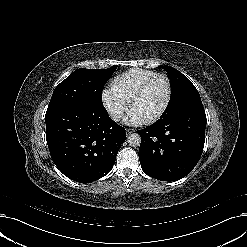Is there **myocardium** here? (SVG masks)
Returning <instances> with one entry per match:
<instances>
[{
    "label": "myocardium",
    "mask_w": 247,
    "mask_h": 247,
    "mask_svg": "<svg viewBox=\"0 0 247 247\" xmlns=\"http://www.w3.org/2000/svg\"><path fill=\"white\" fill-rule=\"evenodd\" d=\"M162 80L165 82L166 84V95H165V99L164 102L161 106V108L154 114H152L151 116L145 118L146 122H153L156 119H158L160 116H162L164 114V112L167 110L169 103L171 101V97H172V84L170 79L164 75V74H158L154 77H152L151 79H149L148 81H146L143 85H141V87L136 91V93L134 94V96L132 97V99L130 100V105L129 108L131 111H134V107L135 104L137 103V101L144 95L145 91L156 81Z\"/></svg>",
    "instance_id": "f54148a6"
}]
</instances>
